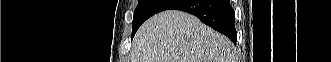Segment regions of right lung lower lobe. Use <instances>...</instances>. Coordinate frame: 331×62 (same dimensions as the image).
I'll use <instances>...</instances> for the list:
<instances>
[{"mask_svg": "<svg viewBox=\"0 0 331 62\" xmlns=\"http://www.w3.org/2000/svg\"><path fill=\"white\" fill-rule=\"evenodd\" d=\"M181 10L198 17L203 23L229 37L236 43L234 10L230 0H172L164 10Z\"/></svg>", "mask_w": 331, "mask_h": 62, "instance_id": "98d812e1", "label": "right lung lower lobe"}]
</instances>
